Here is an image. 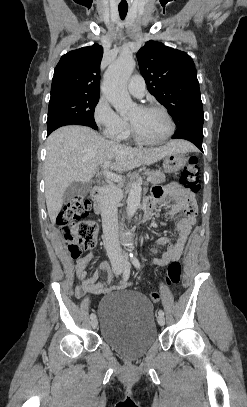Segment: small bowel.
I'll return each mask as SVG.
<instances>
[{
  "mask_svg": "<svg viewBox=\"0 0 247 407\" xmlns=\"http://www.w3.org/2000/svg\"><path fill=\"white\" fill-rule=\"evenodd\" d=\"M172 201L170 209L166 213L168 218H174L183 212L185 216L180 218L176 224L177 238L176 241L167 249L162 251L160 259L154 260L153 265L166 266L172 261H178L184 250L191 229L196 222V207L192 195L181 190L175 183L165 187H156L152 191L151 205L154 208L161 201ZM170 241L169 237L163 236L156 242L158 248H163ZM94 257L93 252L78 259L73 268V273L79 280V285L75 288L76 297H83L90 293L102 294L111 290V287L104 283H96L99 277V271L104 270L105 266L101 265L96 268L93 276H86V268ZM126 284V283H125ZM122 283V285H125Z\"/></svg>",
  "mask_w": 247,
  "mask_h": 407,
  "instance_id": "1",
  "label": "small bowel"
}]
</instances>
